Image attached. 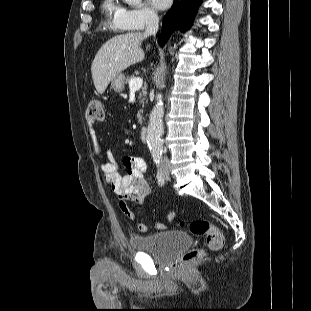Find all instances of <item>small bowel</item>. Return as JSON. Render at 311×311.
I'll return each instance as SVG.
<instances>
[{
    "label": "small bowel",
    "instance_id": "c3829d8e",
    "mask_svg": "<svg viewBox=\"0 0 311 311\" xmlns=\"http://www.w3.org/2000/svg\"><path fill=\"white\" fill-rule=\"evenodd\" d=\"M88 133L93 142L95 153L102 161L101 170L104 173L105 180L119 198V207L125 216L135 221L137 219L134 211L128 206L127 202L131 201L136 204L144 202L145 198L150 194L151 188L145 179L146 163L139 156H124L122 163L125 168L124 174L120 173V166L113 153H110L106 159L102 153L97 138V132L94 127V121L87 122ZM157 229H165V225L155 222ZM137 229L145 233L148 230L146 224L137 223Z\"/></svg>",
    "mask_w": 311,
    "mask_h": 311
}]
</instances>
